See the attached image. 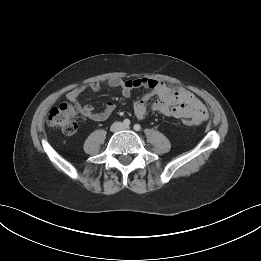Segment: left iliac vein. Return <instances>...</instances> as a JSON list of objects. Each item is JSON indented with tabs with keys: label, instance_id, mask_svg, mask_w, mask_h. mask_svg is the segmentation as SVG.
<instances>
[{
	"label": "left iliac vein",
	"instance_id": "1",
	"mask_svg": "<svg viewBox=\"0 0 261 261\" xmlns=\"http://www.w3.org/2000/svg\"><path fill=\"white\" fill-rule=\"evenodd\" d=\"M123 129L128 130V129H130V127L129 126H123Z\"/></svg>",
	"mask_w": 261,
	"mask_h": 261
}]
</instances>
